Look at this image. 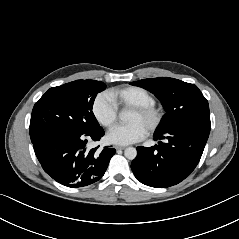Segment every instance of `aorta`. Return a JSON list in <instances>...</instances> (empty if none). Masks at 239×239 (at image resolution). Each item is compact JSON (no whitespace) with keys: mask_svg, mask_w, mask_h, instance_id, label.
<instances>
[{"mask_svg":"<svg viewBox=\"0 0 239 239\" xmlns=\"http://www.w3.org/2000/svg\"><path fill=\"white\" fill-rule=\"evenodd\" d=\"M120 119L123 122H126L128 119V115L126 112H122L120 114ZM124 155L129 160H134L137 156V150L134 147H128L125 149Z\"/></svg>","mask_w":239,"mask_h":239,"instance_id":"aorta-1","label":"aorta"}]
</instances>
